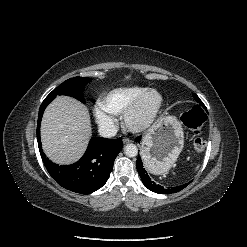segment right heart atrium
<instances>
[{"label": "right heart atrium", "mask_w": 247, "mask_h": 247, "mask_svg": "<svg viewBox=\"0 0 247 247\" xmlns=\"http://www.w3.org/2000/svg\"><path fill=\"white\" fill-rule=\"evenodd\" d=\"M94 115L99 126L106 132L111 133L116 127V119L101 103L94 106Z\"/></svg>", "instance_id": "d8ad5b80"}]
</instances>
